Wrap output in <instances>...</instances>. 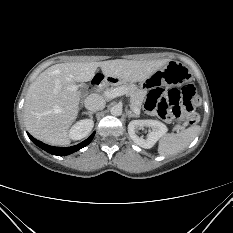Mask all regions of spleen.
<instances>
[{
	"label": "spleen",
	"instance_id": "obj_1",
	"mask_svg": "<svg viewBox=\"0 0 233 233\" xmlns=\"http://www.w3.org/2000/svg\"><path fill=\"white\" fill-rule=\"evenodd\" d=\"M199 131V126H191L181 132L164 135L159 141L158 153L160 155H174L183 151L195 139Z\"/></svg>",
	"mask_w": 233,
	"mask_h": 233
}]
</instances>
